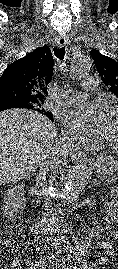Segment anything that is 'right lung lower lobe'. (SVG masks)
I'll list each match as a JSON object with an SVG mask.
<instances>
[{
  "instance_id": "obj_1",
  "label": "right lung lower lobe",
  "mask_w": 118,
  "mask_h": 269,
  "mask_svg": "<svg viewBox=\"0 0 118 269\" xmlns=\"http://www.w3.org/2000/svg\"><path fill=\"white\" fill-rule=\"evenodd\" d=\"M10 108H26V107L19 106V105H6V106H0V111L10 109Z\"/></svg>"
}]
</instances>
